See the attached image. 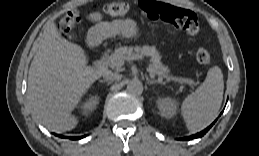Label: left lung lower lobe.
<instances>
[{
	"instance_id": "1",
	"label": "left lung lower lobe",
	"mask_w": 259,
	"mask_h": 156,
	"mask_svg": "<svg viewBox=\"0 0 259 156\" xmlns=\"http://www.w3.org/2000/svg\"><path fill=\"white\" fill-rule=\"evenodd\" d=\"M214 123H215V121L209 127H207L205 130H203L202 132H199V133H197L195 135H192V136L181 138V140H192L194 138L202 137L213 126Z\"/></svg>"
}]
</instances>
